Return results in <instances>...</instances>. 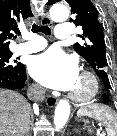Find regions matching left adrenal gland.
Listing matches in <instances>:
<instances>
[{"mask_svg":"<svg viewBox=\"0 0 117 136\" xmlns=\"http://www.w3.org/2000/svg\"><path fill=\"white\" fill-rule=\"evenodd\" d=\"M77 133H80L79 129L76 130Z\"/></svg>","mask_w":117,"mask_h":136,"instance_id":"obj_1","label":"left adrenal gland"}]
</instances>
